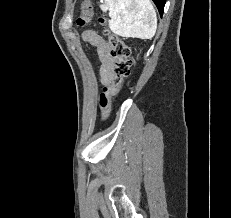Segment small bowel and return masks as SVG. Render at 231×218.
Returning <instances> with one entry per match:
<instances>
[{
    "label": "small bowel",
    "mask_w": 231,
    "mask_h": 218,
    "mask_svg": "<svg viewBox=\"0 0 231 218\" xmlns=\"http://www.w3.org/2000/svg\"><path fill=\"white\" fill-rule=\"evenodd\" d=\"M83 40L96 47L97 55L101 62L99 69L100 82L105 87L114 78L115 60L107 42L93 30H86L82 34Z\"/></svg>",
    "instance_id": "1"
}]
</instances>
